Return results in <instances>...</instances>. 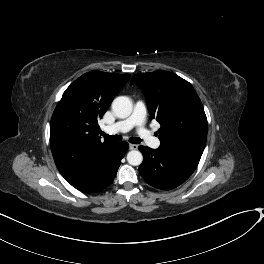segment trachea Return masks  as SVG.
I'll return each instance as SVG.
<instances>
[{
  "instance_id": "3493384b",
  "label": "trachea",
  "mask_w": 264,
  "mask_h": 264,
  "mask_svg": "<svg viewBox=\"0 0 264 264\" xmlns=\"http://www.w3.org/2000/svg\"><path fill=\"white\" fill-rule=\"evenodd\" d=\"M101 135L106 138V139H109L111 141H121L122 140V137L120 135H108V134H105L103 132H101ZM141 139L138 138V137H131L129 138V142L130 143H133V144H139L141 143Z\"/></svg>"
}]
</instances>
